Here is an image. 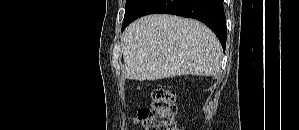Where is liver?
Wrapping results in <instances>:
<instances>
[{
  "label": "liver",
  "instance_id": "6515ba94",
  "mask_svg": "<svg viewBox=\"0 0 299 130\" xmlns=\"http://www.w3.org/2000/svg\"><path fill=\"white\" fill-rule=\"evenodd\" d=\"M122 41L126 75L133 80L214 76L220 71L222 48L217 37L193 19L144 16L127 27Z\"/></svg>",
  "mask_w": 299,
  "mask_h": 130
}]
</instances>
